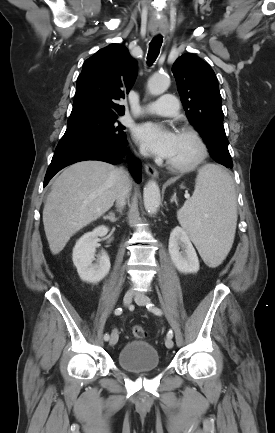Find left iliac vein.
Segmentation results:
<instances>
[{"label": "left iliac vein", "mask_w": 275, "mask_h": 433, "mask_svg": "<svg viewBox=\"0 0 275 433\" xmlns=\"http://www.w3.org/2000/svg\"><path fill=\"white\" fill-rule=\"evenodd\" d=\"M134 300L138 305H141V306H145L150 302L149 297H147L144 294H139V293L135 295ZM165 345L169 349L173 348V346H174L173 340L171 338H167L165 340Z\"/></svg>", "instance_id": "left-iliac-vein-1"}]
</instances>
